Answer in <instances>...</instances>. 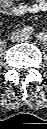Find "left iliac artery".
I'll use <instances>...</instances> for the list:
<instances>
[{"label": "left iliac artery", "mask_w": 47, "mask_h": 129, "mask_svg": "<svg viewBox=\"0 0 47 129\" xmlns=\"http://www.w3.org/2000/svg\"><path fill=\"white\" fill-rule=\"evenodd\" d=\"M37 37H38L40 40H46V39H47V34H46V33H40Z\"/></svg>", "instance_id": "44dca946"}]
</instances>
